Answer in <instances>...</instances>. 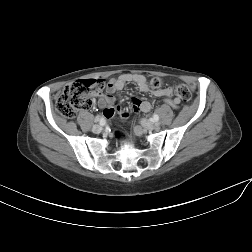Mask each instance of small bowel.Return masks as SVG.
I'll return each instance as SVG.
<instances>
[{
	"mask_svg": "<svg viewBox=\"0 0 252 252\" xmlns=\"http://www.w3.org/2000/svg\"><path fill=\"white\" fill-rule=\"evenodd\" d=\"M129 83L136 85L139 91H141L142 93H147L150 91L146 78L141 74L124 73L119 75L117 78L109 80L106 86V94L97 95V105L100 108L104 109L103 114L106 118H111L116 110L120 112V115L122 117V113L125 110H121L117 106V99L113 96V93L122 90ZM153 95L156 97H167V104L175 109L179 107L181 102L179 98L172 97V90L170 88H161L155 90L153 91ZM133 107L135 110L141 112H149L151 110L150 102L137 98L133 100ZM127 117L128 114L126 117L122 118Z\"/></svg>",
	"mask_w": 252,
	"mask_h": 252,
	"instance_id": "c3829d8e",
	"label": "small bowel"
}]
</instances>
